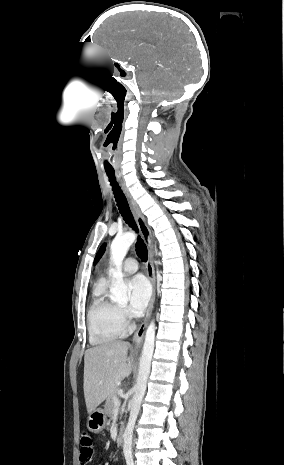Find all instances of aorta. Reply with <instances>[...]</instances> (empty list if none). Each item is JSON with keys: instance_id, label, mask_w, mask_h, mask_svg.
Masks as SVG:
<instances>
[{"instance_id": "1", "label": "aorta", "mask_w": 284, "mask_h": 465, "mask_svg": "<svg viewBox=\"0 0 284 465\" xmlns=\"http://www.w3.org/2000/svg\"><path fill=\"white\" fill-rule=\"evenodd\" d=\"M135 238V234L127 232L123 235L115 237L111 244V260L116 266V270L113 272L114 282L110 292L111 299L118 303L127 302L128 288L123 280L121 265L129 247L135 241ZM155 330V322L152 320L145 334V340L139 364V373L131 401V410L128 423L124 432L123 453L126 459H130L132 457L133 430L140 411L141 402L146 391L147 381L150 374L151 361L155 345Z\"/></svg>"}]
</instances>
